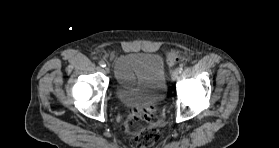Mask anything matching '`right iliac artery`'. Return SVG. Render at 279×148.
Listing matches in <instances>:
<instances>
[{
	"mask_svg": "<svg viewBox=\"0 0 279 148\" xmlns=\"http://www.w3.org/2000/svg\"><path fill=\"white\" fill-rule=\"evenodd\" d=\"M99 65H100L101 67H105V66H106V64H105L104 61H100V62H99Z\"/></svg>",
	"mask_w": 279,
	"mask_h": 148,
	"instance_id": "right-iliac-artery-1",
	"label": "right iliac artery"
}]
</instances>
